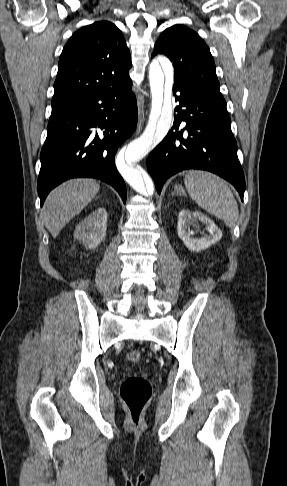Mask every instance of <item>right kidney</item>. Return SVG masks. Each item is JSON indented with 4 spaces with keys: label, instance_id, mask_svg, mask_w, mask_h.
<instances>
[{
    "label": "right kidney",
    "instance_id": "1",
    "mask_svg": "<svg viewBox=\"0 0 287 486\" xmlns=\"http://www.w3.org/2000/svg\"><path fill=\"white\" fill-rule=\"evenodd\" d=\"M107 212L100 207L84 218L74 231V238L82 242L85 247H97L106 236Z\"/></svg>",
    "mask_w": 287,
    "mask_h": 486
}]
</instances>
